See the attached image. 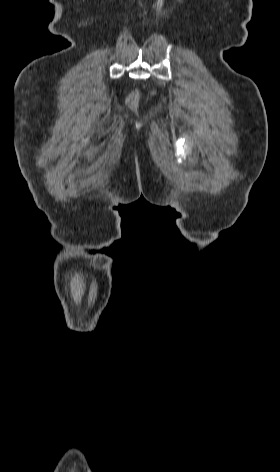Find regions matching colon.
<instances>
[{
    "mask_svg": "<svg viewBox=\"0 0 280 472\" xmlns=\"http://www.w3.org/2000/svg\"><path fill=\"white\" fill-rule=\"evenodd\" d=\"M139 99V94L138 92L134 91L131 92L128 97H127V104L130 108H135L137 106Z\"/></svg>",
    "mask_w": 280,
    "mask_h": 472,
    "instance_id": "5ec220e1",
    "label": "colon"
}]
</instances>
